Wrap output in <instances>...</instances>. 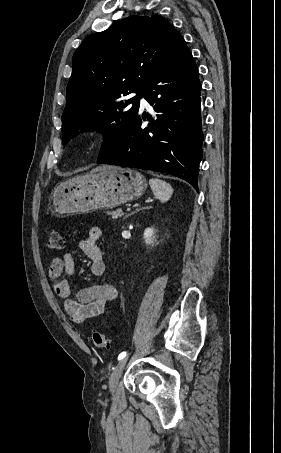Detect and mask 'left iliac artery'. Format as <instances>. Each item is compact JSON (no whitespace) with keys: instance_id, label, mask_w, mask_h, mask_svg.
Here are the masks:
<instances>
[{"instance_id":"obj_1","label":"left iliac artery","mask_w":281,"mask_h":453,"mask_svg":"<svg viewBox=\"0 0 281 453\" xmlns=\"http://www.w3.org/2000/svg\"><path fill=\"white\" fill-rule=\"evenodd\" d=\"M126 356V352H122L119 356H118V360H122L123 358H125Z\"/></svg>"}]
</instances>
